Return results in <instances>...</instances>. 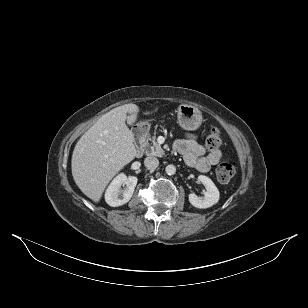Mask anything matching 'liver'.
Returning <instances> with one entry per match:
<instances>
[{
	"label": "liver",
	"mask_w": 308,
	"mask_h": 308,
	"mask_svg": "<svg viewBox=\"0 0 308 308\" xmlns=\"http://www.w3.org/2000/svg\"><path fill=\"white\" fill-rule=\"evenodd\" d=\"M138 112L139 107L135 104L110 110L82 135L74 148L73 179L94 202L100 201L111 179L137 154L134 135L126 121L133 124Z\"/></svg>",
	"instance_id": "obj_1"
}]
</instances>
